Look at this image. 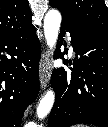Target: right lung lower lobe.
Wrapping results in <instances>:
<instances>
[{
    "instance_id": "98d812e1",
    "label": "right lung lower lobe",
    "mask_w": 108,
    "mask_h": 127,
    "mask_svg": "<svg viewBox=\"0 0 108 127\" xmlns=\"http://www.w3.org/2000/svg\"><path fill=\"white\" fill-rule=\"evenodd\" d=\"M41 47L34 26L0 36V127H20L39 91Z\"/></svg>"
}]
</instances>
